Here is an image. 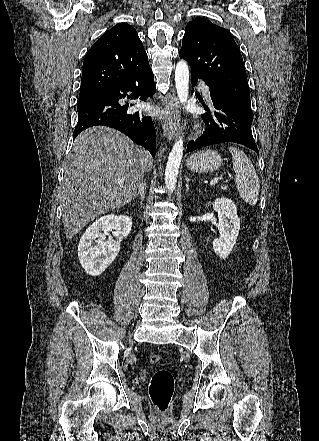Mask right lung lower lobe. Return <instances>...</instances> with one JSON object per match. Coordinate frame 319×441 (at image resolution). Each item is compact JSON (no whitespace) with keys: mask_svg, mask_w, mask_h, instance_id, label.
I'll return each mask as SVG.
<instances>
[{"mask_svg":"<svg viewBox=\"0 0 319 441\" xmlns=\"http://www.w3.org/2000/svg\"><path fill=\"white\" fill-rule=\"evenodd\" d=\"M146 100L155 93L154 77L151 69L138 77L124 82L120 86L88 102L78 104V123L73 132L74 139L86 128L104 125L115 128L135 143L143 146L154 157L156 154V136L150 117L127 113L126 106H120L118 100L124 98Z\"/></svg>","mask_w":319,"mask_h":441,"instance_id":"obj_1","label":"right lung lower lobe"}]
</instances>
